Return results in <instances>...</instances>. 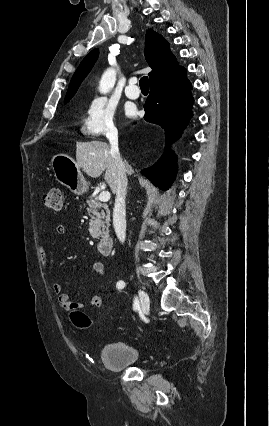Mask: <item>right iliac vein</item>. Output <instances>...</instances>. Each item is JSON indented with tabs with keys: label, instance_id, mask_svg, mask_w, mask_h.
Returning <instances> with one entry per match:
<instances>
[{
	"label": "right iliac vein",
	"instance_id": "right-iliac-vein-1",
	"mask_svg": "<svg viewBox=\"0 0 269 426\" xmlns=\"http://www.w3.org/2000/svg\"><path fill=\"white\" fill-rule=\"evenodd\" d=\"M139 297H140L142 311L145 314H147L149 312V309H150V298H149L148 294L142 289H140V291H139Z\"/></svg>",
	"mask_w": 269,
	"mask_h": 426
}]
</instances>
